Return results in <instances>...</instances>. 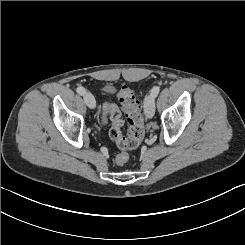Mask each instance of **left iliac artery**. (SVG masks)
<instances>
[{"instance_id":"left-iliac-artery-1","label":"left iliac artery","mask_w":245,"mask_h":245,"mask_svg":"<svg viewBox=\"0 0 245 245\" xmlns=\"http://www.w3.org/2000/svg\"><path fill=\"white\" fill-rule=\"evenodd\" d=\"M159 91H160V87H159V86H154V87L152 88V90H151V94H152L154 97H156V96L158 95Z\"/></svg>"}]
</instances>
